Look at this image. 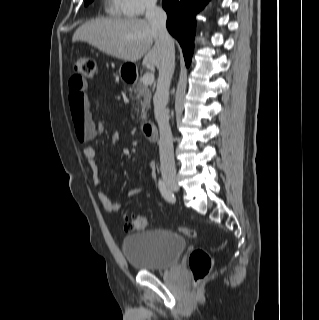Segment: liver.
I'll use <instances>...</instances> for the list:
<instances>
[{
    "label": "liver",
    "mask_w": 319,
    "mask_h": 320,
    "mask_svg": "<svg viewBox=\"0 0 319 320\" xmlns=\"http://www.w3.org/2000/svg\"><path fill=\"white\" fill-rule=\"evenodd\" d=\"M86 42L103 53L124 61L143 65H161L162 44L157 32L145 19L98 18L86 22L74 33L72 42ZM154 43V45H153Z\"/></svg>",
    "instance_id": "1"
}]
</instances>
